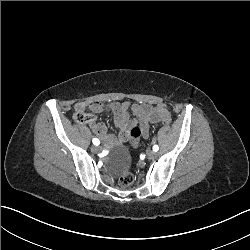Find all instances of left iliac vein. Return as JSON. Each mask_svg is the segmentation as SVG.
Wrapping results in <instances>:
<instances>
[{
    "instance_id": "1",
    "label": "left iliac vein",
    "mask_w": 250,
    "mask_h": 250,
    "mask_svg": "<svg viewBox=\"0 0 250 250\" xmlns=\"http://www.w3.org/2000/svg\"><path fill=\"white\" fill-rule=\"evenodd\" d=\"M157 157V153L155 151H148L147 152V158L152 160L155 159Z\"/></svg>"
}]
</instances>
